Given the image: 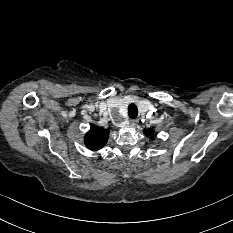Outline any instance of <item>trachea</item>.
Masks as SVG:
<instances>
[{
	"instance_id": "trachea-1",
	"label": "trachea",
	"mask_w": 233,
	"mask_h": 233,
	"mask_svg": "<svg viewBox=\"0 0 233 233\" xmlns=\"http://www.w3.org/2000/svg\"><path fill=\"white\" fill-rule=\"evenodd\" d=\"M128 115L129 118H136L138 115V109L137 106L135 104H130L128 106Z\"/></svg>"
}]
</instances>
